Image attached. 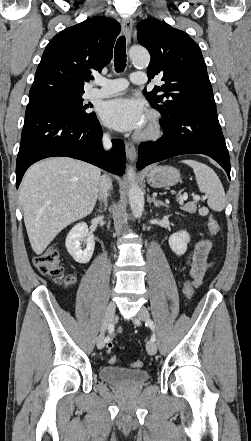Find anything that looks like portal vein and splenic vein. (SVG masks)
Segmentation results:
<instances>
[{"label":"portal vein and splenic vein","mask_w":251,"mask_h":441,"mask_svg":"<svg viewBox=\"0 0 251 441\" xmlns=\"http://www.w3.org/2000/svg\"><path fill=\"white\" fill-rule=\"evenodd\" d=\"M187 198H188L187 193H184V195L181 197V200H187ZM193 199H194V200L200 199V196H198V195H193Z\"/></svg>","instance_id":"18ae733b"}]
</instances>
